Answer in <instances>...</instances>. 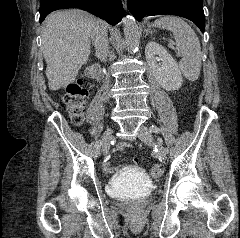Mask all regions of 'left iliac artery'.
<instances>
[{"label":"left iliac artery","instance_id":"obj_1","mask_svg":"<svg viewBox=\"0 0 240 238\" xmlns=\"http://www.w3.org/2000/svg\"><path fill=\"white\" fill-rule=\"evenodd\" d=\"M151 129V131H153V132H161L159 129H158V127H156V126H153L152 125V127L150 128ZM159 130V131H158ZM163 139L165 138L164 136L162 137ZM165 141V143L164 144H162L161 145V150L163 151V152H166L167 151V147L169 146V143L168 142H166L167 140L165 139L164 140Z\"/></svg>","mask_w":240,"mask_h":238}]
</instances>
